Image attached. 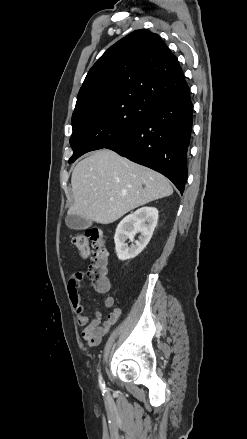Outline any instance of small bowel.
<instances>
[{"instance_id": "1", "label": "small bowel", "mask_w": 247, "mask_h": 439, "mask_svg": "<svg viewBox=\"0 0 247 439\" xmlns=\"http://www.w3.org/2000/svg\"><path fill=\"white\" fill-rule=\"evenodd\" d=\"M84 277L85 274L81 271L72 273L68 281L69 299L75 313L77 324L84 327L82 332L83 340L90 346H96L117 322L121 315V310L114 307V298L108 296L103 303L105 310H108L105 319L102 320L101 312L97 311L94 319L90 321L85 313L79 294V289Z\"/></svg>"}]
</instances>
